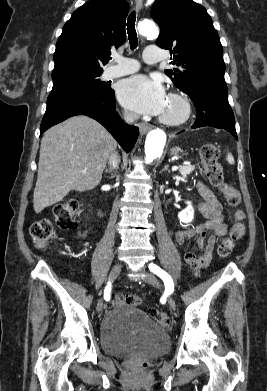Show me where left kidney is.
Returning <instances> with one entry per match:
<instances>
[{"instance_id": "obj_1", "label": "left kidney", "mask_w": 267, "mask_h": 391, "mask_svg": "<svg viewBox=\"0 0 267 391\" xmlns=\"http://www.w3.org/2000/svg\"><path fill=\"white\" fill-rule=\"evenodd\" d=\"M186 203L187 207L183 211L179 212L178 218L183 223H190L194 219V208L190 201H187Z\"/></svg>"}]
</instances>
